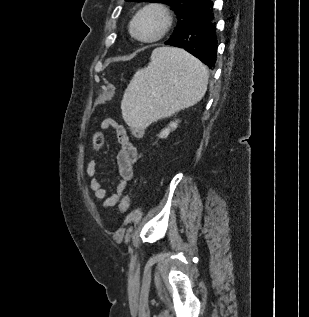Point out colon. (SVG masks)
Returning <instances> with one entry per match:
<instances>
[{
	"label": "colon",
	"instance_id": "5ec220e1",
	"mask_svg": "<svg viewBox=\"0 0 309 317\" xmlns=\"http://www.w3.org/2000/svg\"><path fill=\"white\" fill-rule=\"evenodd\" d=\"M142 130L141 129H134V135L136 137H140L142 135ZM103 143V138H102V135L101 134H96L94 136V144L96 147H100ZM120 208L123 212H127L130 208V197L125 194L121 201H120Z\"/></svg>",
	"mask_w": 309,
	"mask_h": 317
}]
</instances>
